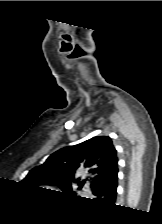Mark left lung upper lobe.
Segmentation results:
<instances>
[{
  "label": "left lung upper lobe",
  "instance_id": "obj_1",
  "mask_svg": "<svg viewBox=\"0 0 162 224\" xmlns=\"http://www.w3.org/2000/svg\"><path fill=\"white\" fill-rule=\"evenodd\" d=\"M117 154L112 141L107 136H97L80 144L62 148L51 154L40 166L33 168L23 179V183L36 185H58L62 192L72 196V183L77 172L89 174L91 189L100 187L117 168ZM82 181L79 185H83Z\"/></svg>",
  "mask_w": 162,
  "mask_h": 224
}]
</instances>
